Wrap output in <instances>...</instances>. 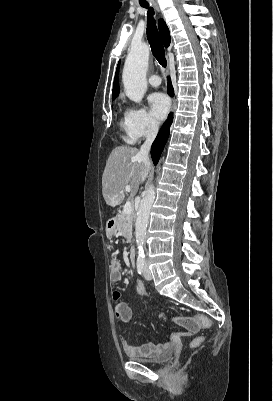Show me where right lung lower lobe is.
<instances>
[{
  "label": "right lung lower lobe",
  "instance_id": "98d812e1",
  "mask_svg": "<svg viewBox=\"0 0 273 401\" xmlns=\"http://www.w3.org/2000/svg\"><path fill=\"white\" fill-rule=\"evenodd\" d=\"M168 94L171 95V96L173 95V88H172L170 80L168 82ZM172 118L173 117L170 114L168 116V120H166V122L164 123V125L160 129L155 141L152 144L151 157H152V160H153L155 165L158 163L160 155H161V153H162V151L164 149V146L166 144V141L168 139L170 125L172 123Z\"/></svg>",
  "mask_w": 273,
  "mask_h": 401
}]
</instances>
